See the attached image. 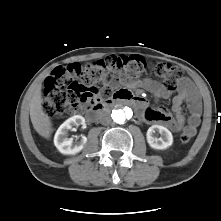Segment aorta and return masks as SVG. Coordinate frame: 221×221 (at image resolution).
Wrapping results in <instances>:
<instances>
[{
  "label": "aorta",
  "instance_id": "aorta-1",
  "mask_svg": "<svg viewBox=\"0 0 221 221\" xmlns=\"http://www.w3.org/2000/svg\"><path fill=\"white\" fill-rule=\"evenodd\" d=\"M132 115L130 108L118 109L112 111V119L118 124H123Z\"/></svg>",
  "mask_w": 221,
  "mask_h": 221
}]
</instances>
